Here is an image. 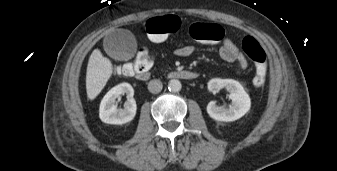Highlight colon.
<instances>
[{
    "instance_id": "1",
    "label": "colon",
    "mask_w": 337,
    "mask_h": 171,
    "mask_svg": "<svg viewBox=\"0 0 337 171\" xmlns=\"http://www.w3.org/2000/svg\"><path fill=\"white\" fill-rule=\"evenodd\" d=\"M181 21L175 15L152 17L146 22L148 37L156 42L163 41L167 36L175 33L180 27ZM190 36L204 45L217 43L223 38V28L213 23H192L189 27ZM242 48L245 54L254 64L255 76L253 83L262 86L265 82L267 63L266 54L260 43L252 36H246L242 40ZM151 65V57L147 48H141L134 62H128L115 67V72L120 75H132L136 69H148Z\"/></svg>"
}]
</instances>
